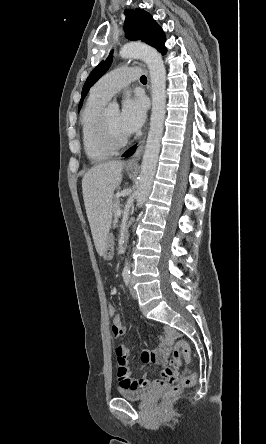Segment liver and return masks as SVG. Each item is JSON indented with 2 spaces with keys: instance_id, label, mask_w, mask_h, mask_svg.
<instances>
[{
  "instance_id": "liver-1",
  "label": "liver",
  "mask_w": 266,
  "mask_h": 444,
  "mask_svg": "<svg viewBox=\"0 0 266 444\" xmlns=\"http://www.w3.org/2000/svg\"><path fill=\"white\" fill-rule=\"evenodd\" d=\"M124 162L109 161L91 168L82 179L86 214L96 250L103 255L112 222V199L121 184Z\"/></svg>"
}]
</instances>
